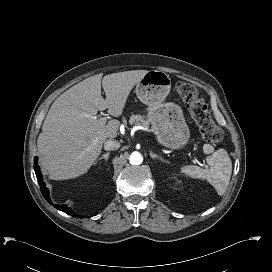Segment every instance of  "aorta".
I'll return each mask as SVG.
<instances>
[{
  "label": "aorta",
  "instance_id": "aorta-1",
  "mask_svg": "<svg viewBox=\"0 0 272 272\" xmlns=\"http://www.w3.org/2000/svg\"><path fill=\"white\" fill-rule=\"evenodd\" d=\"M130 164L139 165L143 161V157L139 152H133L129 158Z\"/></svg>",
  "mask_w": 272,
  "mask_h": 272
}]
</instances>
